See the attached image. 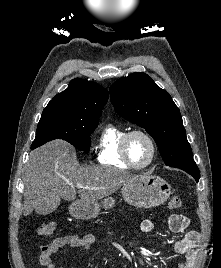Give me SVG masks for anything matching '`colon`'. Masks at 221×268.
I'll return each instance as SVG.
<instances>
[{"label": "colon", "mask_w": 221, "mask_h": 268, "mask_svg": "<svg viewBox=\"0 0 221 268\" xmlns=\"http://www.w3.org/2000/svg\"><path fill=\"white\" fill-rule=\"evenodd\" d=\"M182 205V200L179 197H172L169 200V208L174 210L180 208ZM56 229V224L52 221L41 224L37 229V234L40 236L51 235Z\"/></svg>", "instance_id": "5ec220e1"}]
</instances>
